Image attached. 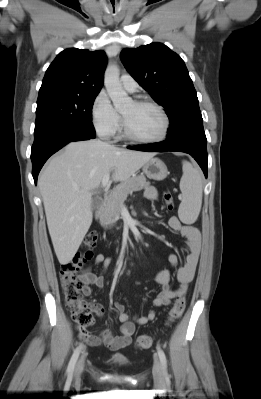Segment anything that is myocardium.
<instances>
[{
	"instance_id": "obj_1",
	"label": "myocardium",
	"mask_w": 261,
	"mask_h": 399,
	"mask_svg": "<svg viewBox=\"0 0 261 399\" xmlns=\"http://www.w3.org/2000/svg\"><path fill=\"white\" fill-rule=\"evenodd\" d=\"M134 102L138 105H146V106H151L153 108H155L161 115L162 119H163V130L161 132V134L157 137L154 138H142L139 137L137 135H135L129 128L125 118L122 115V128H123V134L126 138H128L129 140H132L134 142H138V143H143V144H154V143H159L164 141L169 132H170V127H171V123H170V118L167 114V112L165 111V109L157 102L150 100V99H136L134 100Z\"/></svg>"
}]
</instances>
